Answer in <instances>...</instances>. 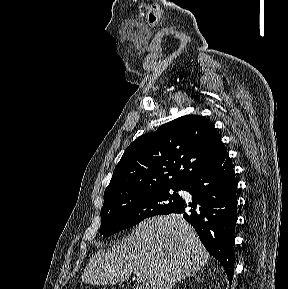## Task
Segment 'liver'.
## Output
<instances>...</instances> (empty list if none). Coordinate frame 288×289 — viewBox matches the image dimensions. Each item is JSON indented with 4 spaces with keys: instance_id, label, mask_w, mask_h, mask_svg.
Instances as JSON below:
<instances>
[{
    "instance_id": "obj_1",
    "label": "liver",
    "mask_w": 288,
    "mask_h": 289,
    "mask_svg": "<svg viewBox=\"0 0 288 289\" xmlns=\"http://www.w3.org/2000/svg\"><path fill=\"white\" fill-rule=\"evenodd\" d=\"M209 256L182 216H156L139 223L134 236L94 254L81 278L86 284L109 285L135 272L143 278L138 289H171L204 267Z\"/></svg>"
}]
</instances>
